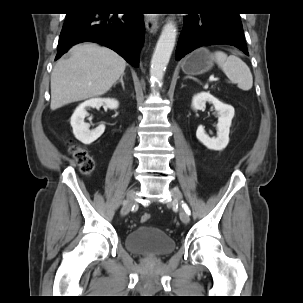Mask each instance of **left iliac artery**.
<instances>
[{"label":"left iliac artery","instance_id":"44dca946","mask_svg":"<svg viewBox=\"0 0 303 303\" xmlns=\"http://www.w3.org/2000/svg\"><path fill=\"white\" fill-rule=\"evenodd\" d=\"M182 207L188 214H190V208L185 202H182Z\"/></svg>","mask_w":303,"mask_h":303}]
</instances>
